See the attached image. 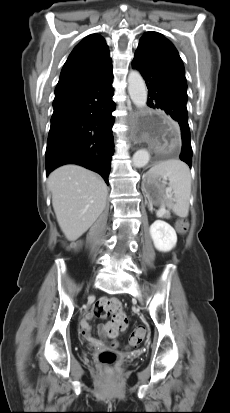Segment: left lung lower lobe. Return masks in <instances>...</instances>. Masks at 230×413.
<instances>
[{"label": "left lung lower lobe", "instance_id": "left-lung-lower-lobe-1", "mask_svg": "<svg viewBox=\"0 0 230 413\" xmlns=\"http://www.w3.org/2000/svg\"><path fill=\"white\" fill-rule=\"evenodd\" d=\"M133 68L140 71L148 88V106L160 108L178 122L182 138L180 159L191 167L192 148L187 114V93L170 75L152 61L135 55Z\"/></svg>", "mask_w": 230, "mask_h": 413}]
</instances>
